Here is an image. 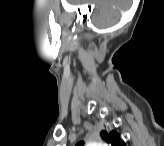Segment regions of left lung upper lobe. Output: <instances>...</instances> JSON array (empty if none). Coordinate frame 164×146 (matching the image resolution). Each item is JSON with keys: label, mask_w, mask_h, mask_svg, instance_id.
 Returning <instances> with one entry per match:
<instances>
[{"label": "left lung upper lobe", "mask_w": 164, "mask_h": 146, "mask_svg": "<svg viewBox=\"0 0 164 146\" xmlns=\"http://www.w3.org/2000/svg\"><path fill=\"white\" fill-rule=\"evenodd\" d=\"M102 138L110 143L112 146H125L124 141L121 139L120 135L112 130V131H102L101 132ZM83 142L77 144V146H82Z\"/></svg>", "instance_id": "1"}]
</instances>
